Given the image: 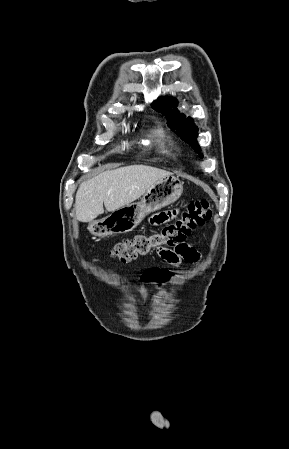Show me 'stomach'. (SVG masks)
I'll return each instance as SVG.
<instances>
[{
  "mask_svg": "<svg viewBox=\"0 0 289 449\" xmlns=\"http://www.w3.org/2000/svg\"><path fill=\"white\" fill-rule=\"evenodd\" d=\"M183 182L173 175L155 182L140 202L123 206L105 218L89 223L88 230L96 237H106L132 231L151 212L164 208L180 198Z\"/></svg>",
  "mask_w": 289,
  "mask_h": 449,
  "instance_id": "1",
  "label": "stomach"
}]
</instances>
